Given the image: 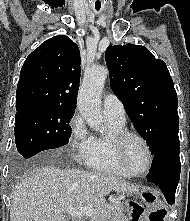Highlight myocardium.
Returning <instances> with one entry per match:
<instances>
[{
	"instance_id": "1",
	"label": "myocardium",
	"mask_w": 190,
	"mask_h": 221,
	"mask_svg": "<svg viewBox=\"0 0 190 221\" xmlns=\"http://www.w3.org/2000/svg\"><path fill=\"white\" fill-rule=\"evenodd\" d=\"M129 138L138 139L145 146L148 152V156H149L148 166L146 170H144L143 172H136L132 170L126 163V160L124 157V148ZM113 146H114V152H115V156H116L118 164L121 166L123 170H125L131 176H136V177L144 176L151 170L153 162H154V153L147 139L140 133L132 131V130H124L115 136Z\"/></svg>"
}]
</instances>
